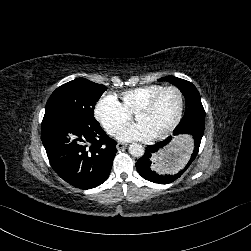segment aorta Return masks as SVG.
I'll list each match as a JSON object with an SVG mask.
<instances>
[{
	"instance_id": "762f6f07",
	"label": "aorta",
	"mask_w": 251,
	"mask_h": 251,
	"mask_svg": "<svg viewBox=\"0 0 251 251\" xmlns=\"http://www.w3.org/2000/svg\"><path fill=\"white\" fill-rule=\"evenodd\" d=\"M129 153L134 157H141L144 155V148L141 144L132 143L129 146Z\"/></svg>"
}]
</instances>
